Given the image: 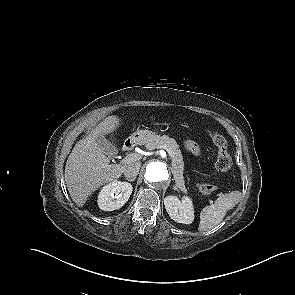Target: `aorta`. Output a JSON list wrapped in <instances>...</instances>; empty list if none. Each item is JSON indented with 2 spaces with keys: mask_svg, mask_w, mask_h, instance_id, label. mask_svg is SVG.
<instances>
[{
  "mask_svg": "<svg viewBox=\"0 0 295 295\" xmlns=\"http://www.w3.org/2000/svg\"><path fill=\"white\" fill-rule=\"evenodd\" d=\"M144 177L148 185L155 186L168 182L170 174L164 163L153 161L147 164Z\"/></svg>",
  "mask_w": 295,
  "mask_h": 295,
  "instance_id": "1",
  "label": "aorta"
}]
</instances>
